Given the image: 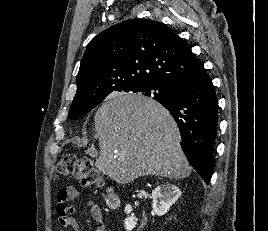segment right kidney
Here are the masks:
<instances>
[{"instance_id": "ca27d5eb", "label": "right kidney", "mask_w": 268, "mask_h": 231, "mask_svg": "<svg viewBox=\"0 0 268 231\" xmlns=\"http://www.w3.org/2000/svg\"><path fill=\"white\" fill-rule=\"evenodd\" d=\"M180 196V189L173 184L164 183L157 186L150 195V198L153 201L152 208L154 213L158 216H163ZM131 212L132 206L127 204L125 207V213L128 217L124 221L125 229L127 231H131L137 224L136 219L133 216H129Z\"/></svg>"}]
</instances>
